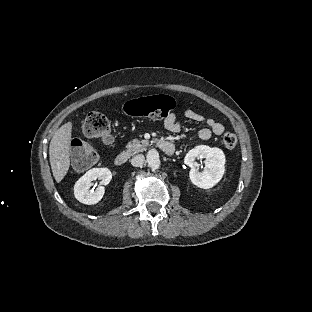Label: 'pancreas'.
Here are the masks:
<instances>
[{"mask_svg":"<svg viewBox=\"0 0 312 312\" xmlns=\"http://www.w3.org/2000/svg\"><path fill=\"white\" fill-rule=\"evenodd\" d=\"M148 145V140L139 141L138 139H133L126 145L127 153L129 155H134L136 153L143 152Z\"/></svg>","mask_w":312,"mask_h":312,"instance_id":"obj_1","label":"pancreas"}]
</instances>
